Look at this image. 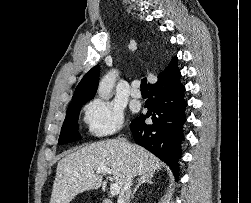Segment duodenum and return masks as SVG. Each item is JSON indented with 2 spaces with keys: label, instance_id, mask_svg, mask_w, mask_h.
<instances>
[{
  "label": "duodenum",
  "instance_id": "duodenum-1",
  "mask_svg": "<svg viewBox=\"0 0 251 203\" xmlns=\"http://www.w3.org/2000/svg\"><path fill=\"white\" fill-rule=\"evenodd\" d=\"M101 203H114V202L108 198H103Z\"/></svg>",
  "mask_w": 251,
  "mask_h": 203
}]
</instances>
